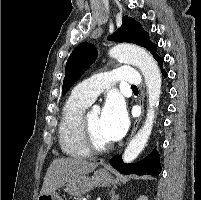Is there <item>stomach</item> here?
<instances>
[{"label": "stomach", "instance_id": "1", "mask_svg": "<svg viewBox=\"0 0 201 200\" xmlns=\"http://www.w3.org/2000/svg\"><path fill=\"white\" fill-rule=\"evenodd\" d=\"M116 182L117 179L107 169H99L91 177L83 174L71 178L65 185V191L72 196L80 197L94 187H105ZM38 200H62V198L54 191L40 195Z\"/></svg>", "mask_w": 201, "mask_h": 200}]
</instances>
